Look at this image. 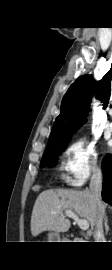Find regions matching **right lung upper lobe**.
Instances as JSON below:
<instances>
[{
  "label": "right lung upper lobe",
  "instance_id": "obj_1",
  "mask_svg": "<svg viewBox=\"0 0 112 270\" xmlns=\"http://www.w3.org/2000/svg\"><path fill=\"white\" fill-rule=\"evenodd\" d=\"M94 94L104 102V108L107 107L112 98V65L100 81H94L91 75H84L70 86L63 97L61 112L55 120L48 145L70 140L81 120L86 117Z\"/></svg>",
  "mask_w": 112,
  "mask_h": 270
}]
</instances>
